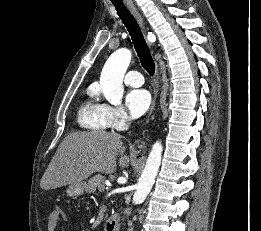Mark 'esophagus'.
Returning <instances> with one entry per match:
<instances>
[{
	"label": "esophagus",
	"mask_w": 261,
	"mask_h": 231,
	"mask_svg": "<svg viewBox=\"0 0 261 231\" xmlns=\"http://www.w3.org/2000/svg\"><path fill=\"white\" fill-rule=\"evenodd\" d=\"M124 3L126 5V7L130 10V12L133 14V16L137 19L139 24L142 26V28L144 29V33H146V29H145V26H144V23H143V18L141 16V14L139 13V11L137 10L136 6L133 4L132 0H124ZM155 40H156V37L154 36L152 40H149V44L151 45ZM156 79H157L156 91H155V95H154L152 105H151V108H150L149 116L146 120V124L148 123L149 117H150V115L152 114V112L155 108V104H156V100H157V96H158L159 79H160L158 69H157V72H156ZM140 141H141V139H137L134 142V144L137 145V144L140 143Z\"/></svg>",
	"instance_id": "34e87169"
}]
</instances>
